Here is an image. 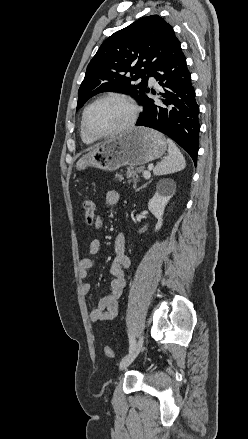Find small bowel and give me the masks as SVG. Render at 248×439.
Masks as SVG:
<instances>
[{"label":"small bowel","instance_id":"small-bowel-1","mask_svg":"<svg viewBox=\"0 0 248 439\" xmlns=\"http://www.w3.org/2000/svg\"><path fill=\"white\" fill-rule=\"evenodd\" d=\"M120 196L117 191L109 190L105 195V201L109 206L119 202ZM103 225L102 217L99 215L95 221V228L100 229ZM100 240L92 239L88 244L90 256L83 257L79 263V278L82 280L81 292L87 295L91 285L86 281L89 270L93 267L92 256L100 250ZM115 257L110 267L113 280L110 284V293L102 297L97 306L91 310L90 319L93 322H106L113 320L118 315L119 299L126 286V270L131 266V260L125 252V237L122 233L117 234L114 241Z\"/></svg>","mask_w":248,"mask_h":439}]
</instances>
